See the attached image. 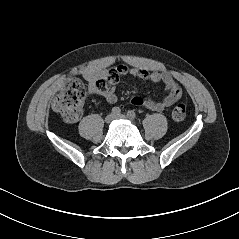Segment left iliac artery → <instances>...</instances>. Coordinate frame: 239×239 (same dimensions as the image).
Wrapping results in <instances>:
<instances>
[{
    "instance_id": "44dca946",
    "label": "left iliac artery",
    "mask_w": 239,
    "mask_h": 239,
    "mask_svg": "<svg viewBox=\"0 0 239 239\" xmlns=\"http://www.w3.org/2000/svg\"><path fill=\"white\" fill-rule=\"evenodd\" d=\"M127 116H128L129 118H131V119H135V118H136V113H135L134 111H132V110H129V111L127 112Z\"/></svg>"
}]
</instances>
